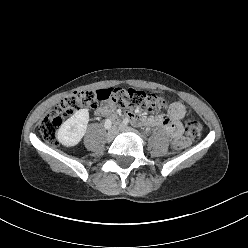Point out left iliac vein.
Segmentation results:
<instances>
[{
  "label": "left iliac vein",
  "mask_w": 248,
  "mask_h": 248,
  "mask_svg": "<svg viewBox=\"0 0 248 248\" xmlns=\"http://www.w3.org/2000/svg\"><path fill=\"white\" fill-rule=\"evenodd\" d=\"M118 128L122 132H135L132 128H130L124 124H120Z\"/></svg>",
  "instance_id": "4c4485c4"
}]
</instances>
